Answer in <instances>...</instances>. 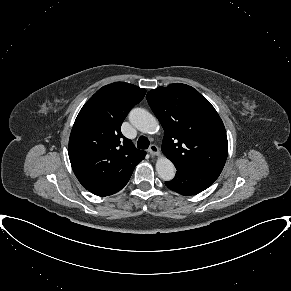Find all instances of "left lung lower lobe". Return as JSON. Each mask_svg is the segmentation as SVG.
Instances as JSON below:
<instances>
[{"label":"left lung lower lobe","instance_id":"obj_1","mask_svg":"<svg viewBox=\"0 0 291 291\" xmlns=\"http://www.w3.org/2000/svg\"><path fill=\"white\" fill-rule=\"evenodd\" d=\"M177 169L175 178L165 182V185L182 195H195L207 189L218 178L220 173L189 169L175 166Z\"/></svg>","mask_w":291,"mask_h":291}]
</instances>
